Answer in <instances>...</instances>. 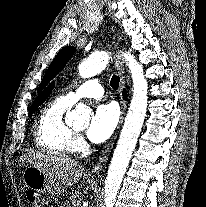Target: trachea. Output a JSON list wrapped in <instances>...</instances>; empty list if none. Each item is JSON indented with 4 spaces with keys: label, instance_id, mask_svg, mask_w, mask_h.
I'll use <instances>...</instances> for the list:
<instances>
[{
    "label": "trachea",
    "instance_id": "trachea-1",
    "mask_svg": "<svg viewBox=\"0 0 206 207\" xmlns=\"http://www.w3.org/2000/svg\"><path fill=\"white\" fill-rule=\"evenodd\" d=\"M120 78L117 75H113L110 81V85L114 90H117L119 87Z\"/></svg>",
    "mask_w": 206,
    "mask_h": 207
}]
</instances>
